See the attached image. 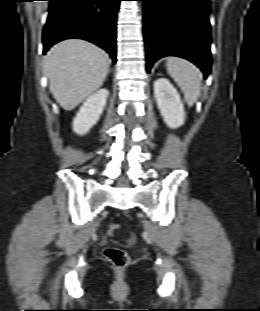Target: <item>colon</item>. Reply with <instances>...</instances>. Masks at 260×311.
Instances as JSON below:
<instances>
[{"instance_id":"5ec220e1","label":"colon","mask_w":260,"mask_h":311,"mask_svg":"<svg viewBox=\"0 0 260 311\" xmlns=\"http://www.w3.org/2000/svg\"><path fill=\"white\" fill-rule=\"evenodd\" d=\"M120 230L118 224H111L108 229L109 235L113 236L117 231ZM104 256L113 266L122 268L128 263L127 253L120 248L109 247L104 250Z\"/></svg>"}]
</instances>
